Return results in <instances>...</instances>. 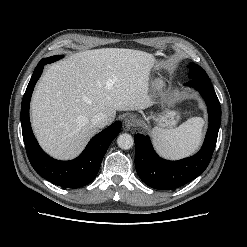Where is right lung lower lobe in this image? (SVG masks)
I'll return each mask as SVG.
<instances>
[{"label": "right lung lower lobe", "mask_w": 247, "mask_h": 247, "mask_svg": "<svg viewBox=\"0 0 247 247\" xmlns=\"http://www.w3.org/2000/svg\"><path fill=\"white\" fill-rule=\"evenodd\" d=\"M52 62V59L44 58L38 63L23 96L21 105L23 140L28 159L41 177L58 186L79 188L87 185L96 177L109 145L121 130V122L113 123L94 136L76 159L60 161L49 157L40 148L33 135L29 120V105L34 86L41 76L44 65Z\"/></svg>", "instance_id": "98d812e1"}]
</instances>
